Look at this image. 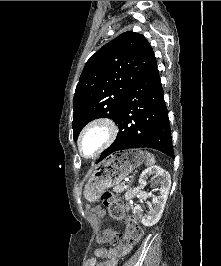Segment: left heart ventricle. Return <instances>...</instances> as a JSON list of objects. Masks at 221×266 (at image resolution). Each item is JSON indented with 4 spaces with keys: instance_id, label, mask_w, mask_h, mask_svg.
<instances>
[{
    "instance_id": "obj_1",
    "label": "left heart ventricle",
    "mask_w": 221,
    "mask_h": 266,
    "mask_svg": "<svg viewBox=\"0 0 221 266\" xmlns=\"http://www.w3.org/2000/svg\"><path fill=\"white\" fill-rule=\"evenodd\" d=\"M105 137V131L101 128H97L91 131L83 141V151L85 154H92L101 144Z\"/></svg>"
}]
</instances>
